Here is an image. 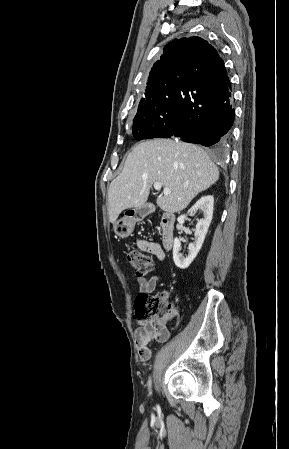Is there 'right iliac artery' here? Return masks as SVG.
<instances>
[{
  "instance_id": "right-iliac-artery-1",
  "label": "right iliac artery",
  "mask_w": 289,
  "mask_h": 449,
  "mask_svg": "<svg viewBox=\"0 0 289 449\" xmlns=\"http://www.w3.org/2000/svg\"><path fill=\"white\" fill-rule=\"evenodd\" d=\"M151 385V380H149V386Z\"/></svg>"
}]
</instances>
